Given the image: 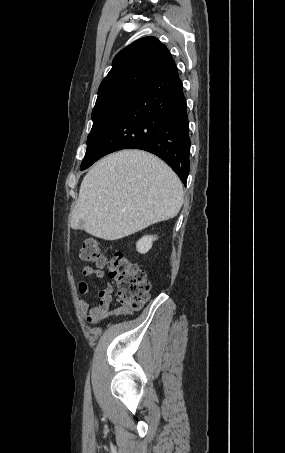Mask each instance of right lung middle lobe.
I'll return each mask as SVG.
<instances>
[{
	"mask_svg": "<svg viewBox=\"0 0 285 453\" xmlns=\"http://www.w3.org/2000/svg\"><path fill=\"white\" fill-rule=\"evenodd\" d=\"M135 93L136 91L119 95L93 108V126L87 138V150L81 163V170L91 166L98 149Z\"/></svg>",
	"mask_w": 285,
	"mask_h": 453,
	"instance_id": "dd1d6c3e",
	"label": "right lung middle lobe"
}]
</instances>
